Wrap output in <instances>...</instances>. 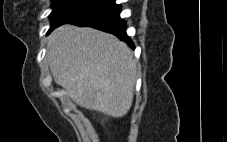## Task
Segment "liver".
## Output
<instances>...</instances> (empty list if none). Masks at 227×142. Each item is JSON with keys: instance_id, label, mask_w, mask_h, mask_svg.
Returning <instances> with one entry per match:
<instances>
[{"instance_id": "liver-1", "label": "liver", "mask_w": 227, "mask_h": 142, "mask_svg": "<svg viewBox=\"0 0 227 142\" xmlns=\"http://www.w3.org/2000/svg\"><path fill=\"white\" fill-rule=\"evenodd\" d=\"M46 57L54 82L79 106L115 118L130 110L136 64L115 36L66 24L50 34Z\"/></svg>"}]
</instances>
